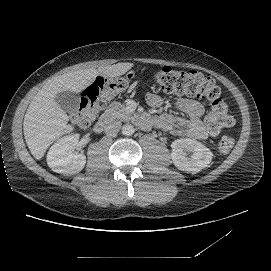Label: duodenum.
Here are the masks:
<instances>
[{
  "label": "duodenum",
  "mask_w": 271,
  "mask_h": 271,
  "mask_svg": "<svg viewBox=\"0 0 271 271\" xmlns=\"http://www.w3.org/2000/svg\"><path fill=\"white\" fill-rule=\"evenodd\" d=\"M94 130L98 133L111 134L116 130V124L108 115H103L95 123Z\"/></svg>",
  "instance_id": "duodenum-1"
}]
</instances>
